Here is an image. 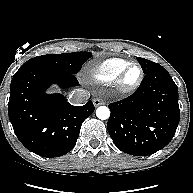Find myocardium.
<instances>
[{
	"label": "myocardium",
	"instance_id": "obj_1",
	"mask_svg": "<svg viewBox=\"0 0 193 193\" xmlns=\"http://www.w3.org/2000/svg\"><path fill=\"white\" fill-rule=\"evenodd\" d=\"M133 67H137L140 70V75L138 79L132 84L125 83V77L129 70ZM144 79V70L142 66L138 63H130L125 68L121 70L118 76L115 79V88L120 94H130L134 92L142 83Z\"/></svg>",
	"mask_w": 193,
	"mask_h": 193
}]
</instances>
